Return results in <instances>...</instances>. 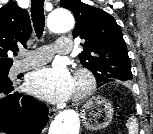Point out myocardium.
I'll use <instances>...</instances> for the list:
<instances>
[{
    "label": "myocardium",
    "mask_w": 153,
    "mask_h": 134,
    "mask_svg": "<svg viewBox=\"0 0 153 134\" xmlns=\"http://www.w3.org/2000/svg\"><path fill=\"white\" fill-rule=\"evenodd\" d=\"M74 78L79 84V88L73 94V99L74 101H80L93 92L96 87V77L90 69L79 67L75 70Z\"/></svg>",
    "instance_id": "1"
}]
</instances>
